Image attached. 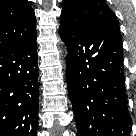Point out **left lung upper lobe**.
Here are the masks:
<instances>
[{
	"label": "left lung upper lobe",
	"mask_w": 136,
	"mask_h": 136,
	"mask_svg": "<svg viewBox=\"0 0 136 136\" xmlns=\"http://www.w3.org/2000/svg\"><path fill=\"white\" fill-rule=\"evenodd\" d=\"M60 24L120 31L116 15L104 0H64Z\"/></svg>",
	"instance_id": "5c2ea615"
}]
</instances>
